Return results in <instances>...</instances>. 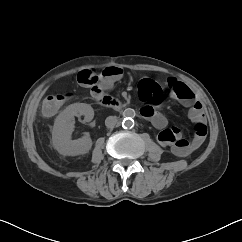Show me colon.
I'll return each mask as SVG.
<instances>
[{"mask_svg": "<svg viewBox=\"0 0 242 242\" xmlns=\"http://www.w3.org/2000/svg\"><path fill=\"white\" fill-rule=\"evenodd\" d=\"M100 75L94 71H84L80 74L81 83L95 87ZM177 94L180 97L186 96L187 92L181 85L176 86ZM139 91L146 97H151L155 101H160L163 92L161 87L152 80L143 79L139 84ZM66 96L62 94H55L47 96L42 105V111L46 115L55 114L64 104ZM195 131L201 135L206 133V129L199 125L195 126Z\"/></svg>", "mask_w": 242, "mask_h": 242, "instance_id": "colon-1", "label": "colon"}]
</instances>
